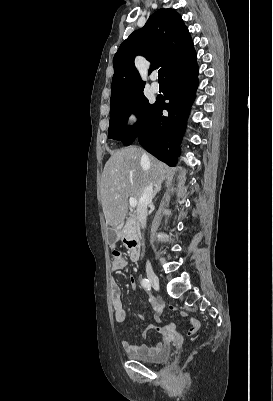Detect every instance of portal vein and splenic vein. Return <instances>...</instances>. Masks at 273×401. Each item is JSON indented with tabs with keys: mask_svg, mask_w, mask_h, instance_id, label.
<instances>
[{
	"mask_svg": "<svg viewBox=\"0 0 273 401\" xmlns=\"http://www.w3.org/2000/svg\"><path fill=\"white\" fill-rule=\"evenodd\" d=\"M129 203H130V207H136V205H137L136 198H133V196H130Z\"/></svg>",
	"mask_w": 273,
	"mask_h": 401,
	"instance_id": "obj_1",
	"label": "portal vein and splenic vein"
}]
</instances>
